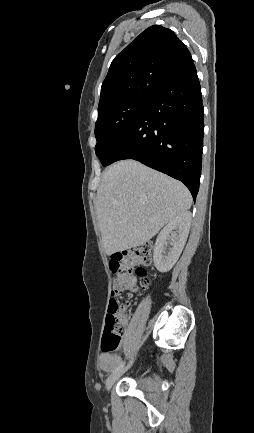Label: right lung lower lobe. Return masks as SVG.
Returning a JSON list of instances; mask_svg holds the SVG:
<instances>
[{"instance_id":"98d812e1","label":"right lung lower lobe","mask_w":254,"mask_h":433,"mask_svg":"<svg viewBox=\"0 0 254 433\" xmlns=\"http://www.w3.org/2000/svg\"><path fill=\"white\" fill-rule=\"evenodd\" d=\"M203 104L196 68L180 70L150 99L108 165L134 159L183 182L195 201L201 176Z\"/></svg>"}]
</instances>
